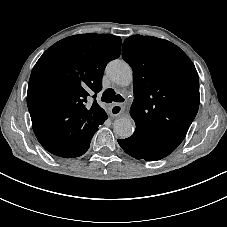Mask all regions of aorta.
Masks as SVG:
<instances>
[{
	"instance_id": "762f6f07",
	"label": "aorta",
	"mask_w": 227,
	"mask_h": 227,
	"mask_svg": "<svg viewBox=\"0 0 227 227\" xmlns=\"http://www.w3.org/2000/svg\"><path fill=\"white\" fill-rule=\"evenodd\" d=\"M108 77L117 85L127 86L132 82L131 67L123 60H113L106 67ZM135 123L129 116H123L115 120L114 132L122 139L130 137L134 132Z\"/></svg>"
}]
</instances>
